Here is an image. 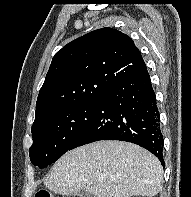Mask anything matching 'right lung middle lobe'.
<instances>
[{"instance_id":"obj_1","label":"right lung middle lobe","mask_w":191,"mask_h":197,"mask_svg":"<svg viewBox=\"0 0 191 197\" xmlns=\"http://www.w3.org/2000/svg\"><path fill=\"white\" fill-rule=\"evenodd\" d=\"M97 101L78 104L54 113L32 126V164L44 168L58 160L74 143L97 108Z\"/></svg>"}]
</instances>
